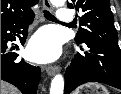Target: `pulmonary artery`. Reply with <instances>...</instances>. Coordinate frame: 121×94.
<instances>
[{"instance_id":"pulmonary-artery-1","label":"pulmonary artery","mask_w":121,"mask_h":94,"mask_svg":"<svg viewBox=\"0 0 121 94\" xmlns=\"http://www.w3.org/2000/svg\"><path fill=\"white\" fill-rule=\"evenodd\" d=\"M58 20L61 22H69L72 20L71 12L68 9L61 8L58 11Z\"/></svg>"}]
</instances>
